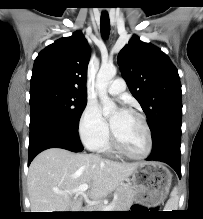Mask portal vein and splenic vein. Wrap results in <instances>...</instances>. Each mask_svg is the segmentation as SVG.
I'll use <instances>...</instances> for the list:
<instances>
[{
    "label": "portal vein and splenic vein",
    "mask_w": 203,
    "mask_h": 219,
    "mask_svg": "<svg viewBox=\"0 0 203 219\" xmlns=\"http://www.w3.org/2000/svg\"><path fill=\"white\" fill-rule=\"evenodd\" d=\"M89 188L88 184H82L78 188L73 189L72 191H66V192H58L59 194H64V193H70V194H84V192ZM114 208V203L112 202L111 204L104 206L102 211H111Z\"/></svg>",
    "instance_id": "obj_1"
}]
</instances>
